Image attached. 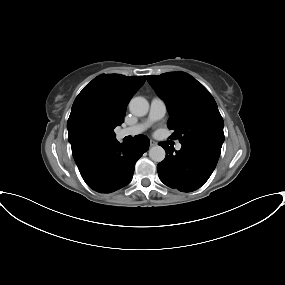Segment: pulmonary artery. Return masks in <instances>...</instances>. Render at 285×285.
I'll return each instance as SVG.
<instances>
[{
	"label": "pulmonary artery",
	"instance_id": "pulmonary-artery-1",
	"mask_svg": "<svg viewBox=\"0 0 285 285\" xmlns=\"http://www.w3.org/2000/svg\"><path fill=\"white\" fill-rule=\"evenodd\" d=\"M166 111H167V107H166L165 101L159 97H154L150 103V110H149L148 117L141 123L121 129L118 132V137L124 138L127 136H136L142 133L152 123L162 119L165 116ZM175 148L177 150H180L182 148V144L178 142L175 145Z\"/></svg>",
	"mask_w": 285,
	"mask_h": 285
}]
</instances>
